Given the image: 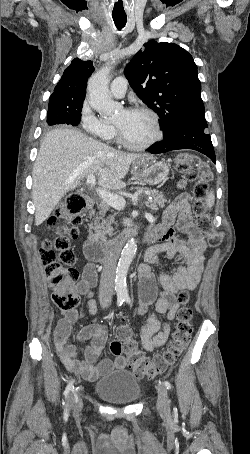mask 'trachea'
I'll return each instance as SVG.
<instances>
[{
    "label": "trachea",
    "mask_w": 250,
    "mask_h": 454,
    "mask_svg": "<svg viewBox=\"0 0 250 454\" xmlns=\"http://www.w3.org/2000/svg\"><path fill=\"white\" fill-rule=\"evenodd\" d=\"M113 20H114L115 26L119 30H121L126 25L127 17L120 16V15H113Z\"/></svg>",
    "instance_id": "1"
}]
</instances>
